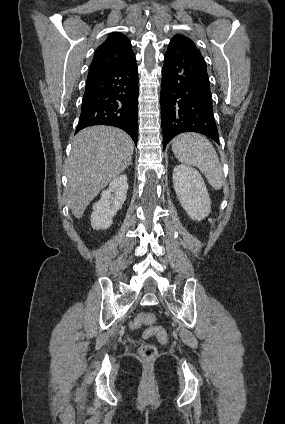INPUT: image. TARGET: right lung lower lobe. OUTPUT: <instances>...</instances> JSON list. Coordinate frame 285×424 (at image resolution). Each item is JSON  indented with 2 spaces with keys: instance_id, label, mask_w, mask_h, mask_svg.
Returning <instances> with one entry per match:
<instances>
[{
  "instance_id": "1",
  "label": "right lung lower lobe",
  "mask_w": 285,
  "mask_h": 424,
  "mask_svg": "<svg viewBox=\"0 0 285 424\" xmlns=\"http://www.w3.org/2000/svg\"><path fill=\"white\" fill-rule=\"evenodd\" d=\"M138 67L136 59L117 68L89 75L76 133L93 125L123 129L137 145Z\"/></svg>"
}]
</instances>
